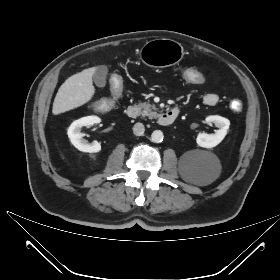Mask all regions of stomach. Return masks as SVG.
<instances>
[{"label": "stomach", "mask_w": 280, "mask_h": 280, "mask_svg": "<svg viewBox=\"0 0 280 280\" xmlns=\"http://www.w3.org/2000/svg\"><path fill=\"white\" fill-rule=\"evenodd\" d=\"M147 66L162 68L180 62L184 56L183 46L171 39H154L146 42L139 53Z\"/></svg>", "instance_id": "1"}]
</instances>
